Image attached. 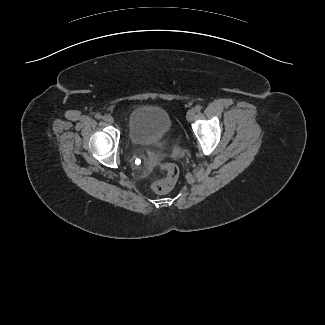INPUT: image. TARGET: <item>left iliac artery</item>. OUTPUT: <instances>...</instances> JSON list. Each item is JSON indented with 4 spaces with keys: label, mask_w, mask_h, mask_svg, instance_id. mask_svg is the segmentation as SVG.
I'll use <instances>...</instances> for the list:
<instances>
[{
    "label": "left iliac artery",
    "mask_w": 325,
    "mask_h": 325,
    "mask_svg": "<svg viewBox=\"0 0 325 325\" xmlns=\"http://www.w3.org/2000/svg\"><path fill=\"white\" fill-rule=\"evenodd\" d=\"M201 108H202V107H201L200 105H196V106H195V111H196V112H200V111H201Z\"/></svg>",
    "instance_id": "1"
}]
</instances>
